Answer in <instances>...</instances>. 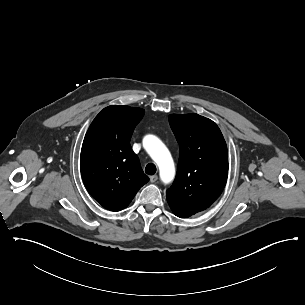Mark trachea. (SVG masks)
Masks as SVG:
<instances>
[{
    "label": "trachea",
    "instance_id": "1",
    "mask_svg": "<svg viewBox=\"0 0 305 305\" xmlns=\"http://www.w3.org/2000/svg\"><path fill=\"white\" fill-rule=\"evenodd\" d=\"M145 173L148 175H154L156 173V166L153 163L147 164L145 167Z\"/></svg>",
    "mask_w": 305,
    "mask_h": 305
}]
</instances>
